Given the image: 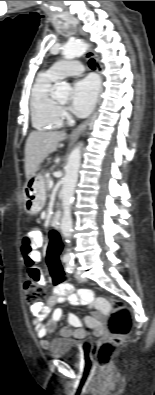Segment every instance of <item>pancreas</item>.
Instances as JSON below:
<instances>
[{"mask_svg": "<svg viewBox=\"0 0 155 395\" xmlns=\"http://www.w3.org/2000/svg\"><path fill=\"white\" fill-rule=\"evenodd\" d=\"M43 180H44V186H45V190H47V191H49L50 190V188H49V181L50 180H52L50 177H44L43 178Z\"/></svg>", "mask_w": 155, "mask_h": 395, "instance_id": "obj_1", "label": "pancreas"}]
</instances>
